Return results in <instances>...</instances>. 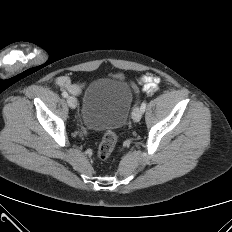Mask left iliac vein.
I'll list each match as a JSON object with an SVG mask.
<instances>
[{
    "instance_id": "1",
    "label": "left iliac vein",
    "mask_w": 232,
    "mask_h": 232,
    "mask_svg": "<svg viewBox=\"0 0 232 232\" xmlns=\"http://www.w3.org/2000/svg\"><path fill=\"white\" fill-rule=\"evenodd\" d=\"M142 110L141 108H135L132 112V119L135 121V122H138L140 121V119L142 118Z\"/></svg>"
}]
</instances>
